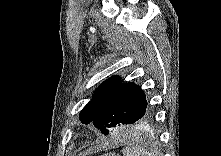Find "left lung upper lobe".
Returning a JSON list of instances; mask_svg holds the SVG:
<instances>
[{
	"mask_svg": "<svg viewBox=\"0 0 221 156\" xmlns=\"http://www.w3.org/2000/svg\"><path fill=\"white\" fill-rule=\"evenodd\" d=\"M150 114L142 89L134 83L122 82L119 76H112L95 90L79 118L83 124L93 122L107 135L110 128L135 125Z\"/></svg>",
	"mask_w": 221,
	"mask_h": 156,
	"instance_id": "1",
	"label": "left lung upper lobe"
}]
</instances>
